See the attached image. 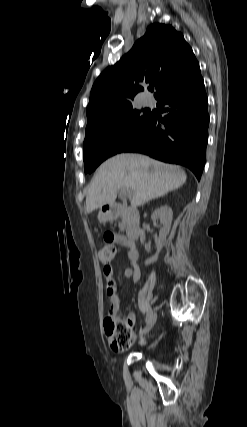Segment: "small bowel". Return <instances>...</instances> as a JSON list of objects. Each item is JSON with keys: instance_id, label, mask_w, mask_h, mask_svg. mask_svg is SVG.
Wrapping results in <instances>:
<instances>
[{"instance_id": "small-bowel-1", "label": "small bowel", "mask_w": 247, "mask_h": 427, "mask_svg": "<svg viewBox=\"0 0 247 427\" xmlns=\"http://www.w3.org/2000/svg\"><path fill=\"white\" fill-rule=\"evenodd\" d=\"M104 239L106 245H111L112 242H115L118 245L128 248L127 252V261L130 265V268H127L124 272L127 278L133 280L134 283H137L140 279V270L137 266L138 262V252L135 249L134 245L129 244L125 236L120 234H113L111 229H106L104 231ZM104 274L106 277V292L110 301L109 314L116 316L120 310L121 299L117 293V284L113 277V268L111 265H106L104 267ZM136 320V315L134 313H128L125 319L129 325L133 326Z\"/></svg>"}]
</instances>
